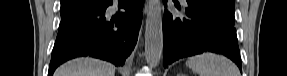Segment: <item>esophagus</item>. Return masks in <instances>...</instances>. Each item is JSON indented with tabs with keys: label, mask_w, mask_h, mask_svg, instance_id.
<instances>
[{
	"label": "esophagus",
	"mask_w": 287,
	"mask_h": 76,
	"mask_svg": "<svg viewBox=\"0 0 287 76\" xmlns=\"http://www.w3.org/2000/svg\"><path fill=\"white\" fill-rule=\"evenodd\" d=\"M149 10V1H146L145 6H144V13L146 14Z\"/></svg>",
	"instance_id": "esophagus-1"
}]
</instances>
